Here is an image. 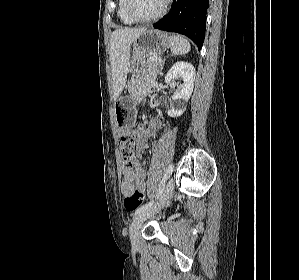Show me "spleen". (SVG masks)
Masks as SVG:
<instances>
[{"mask_svg": "<svg viewBox=\"0 0 299 280\" xmlns=\"http://www.w3.org/2000/svg\"><path fill=\"white\" fill-rule=\"evenodd\" d=\"M169 46L174 55H185L191 49L189 41L178 35L169 37Z\"/></svg>", "mask_w": 299, "mask_h": 280, "instance_id": "3e777b00", "label": "spleen"}]
</instances>
